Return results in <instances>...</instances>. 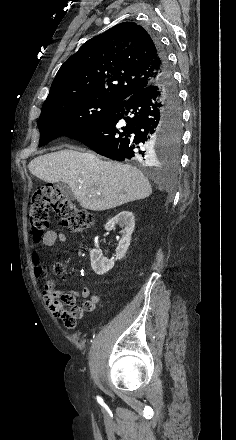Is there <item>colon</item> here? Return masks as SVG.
I'll use <instances>...</instances> for the list:
<instances>
[{"instance_id":"5ec220e1","label":"colon","mask_w":236,"mask_h":440,"mask_svg":"<svg viewBox=\"0 0 236 440\" xmlns=\"http://www.w3.org/2000/svg\"><path fill=\"white\" fill-rule=\"evenodd\" d=\"M50 209L54 210L62 223L73 233L83 232L94 222V216L90 211L78 206L61 194L57 188L53 186L37 187L29 199V217L34 242H39L47 230ZM52 270L55 274L64 272L60 263H55ZM45 291L50 293L56 302L63 306L67 305L64 298L56 291L52 281L45 284ZM62 321L65 323V321L75 320L67 312H64Z\"/></svg>"}]
</instances>
